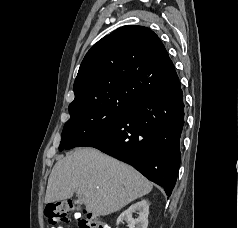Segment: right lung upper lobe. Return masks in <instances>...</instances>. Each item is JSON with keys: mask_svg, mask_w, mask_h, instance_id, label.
Segmentation results:
<instances>
[{"mask_svg": "<svg viewBox=\"0 0 238 228\" xmlns=\"http://www.w3.org/2000/svg\"><path fill=\"white\" fill-rule=\"evenodd\" d=\"M178 81L159 37L143 26H123L99 40L85 55L69 112L95 105H129Z\"/></svg>", "mask_w": 238, "mask_h": 228, "instance_id": "right-lung-upper-lobe-1", "label": "right lung upper lobe"}]
</instances>
